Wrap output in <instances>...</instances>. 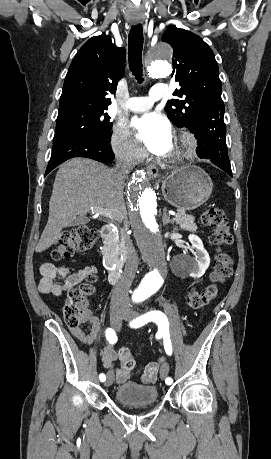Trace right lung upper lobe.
I'll use <instances>...</instances> for the list:
<instances>
[{"instance_id": "right-lung-upper-lobe-1", "label": "right lung upper lobe", "mask_w": 271, "mask_h": 459, "mask_svg": "<svg viewBox=\"0 0 271 459\" xmlns=\"http://www.w3.org/2000/svg\"><path fill=\"white\" fill-rule=\"evenodd\" d=\"M126 51L107 35L89 39L74 57L63 85L59 112L76 109L107 110L125 72Z\"/></svg>"}]
</instances>
